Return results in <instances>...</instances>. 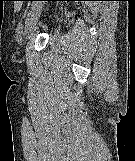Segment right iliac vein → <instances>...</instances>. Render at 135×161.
Instances as JSON below:
<instances>
[{"instance_id":"63e3f726","label":"right iliac vein","mask_w":135,"mask_h":161,"mask_svg":"<svg viewBox=\"0 0 135 161\" xmlns=\"http://www.w3.org/2000/svg\"><path fill=\"white\" fill-rule=\"evenodd\" d=\"M38 2V1H37ZM43 4L42 3H35L32 8L31 11L26 19L25 22V27H24V35H28L29 33H31L34 29V27L36 26L39 17L41 15L42 9H43Z\"/></svg>"}]
</instances>
